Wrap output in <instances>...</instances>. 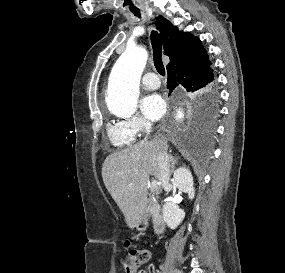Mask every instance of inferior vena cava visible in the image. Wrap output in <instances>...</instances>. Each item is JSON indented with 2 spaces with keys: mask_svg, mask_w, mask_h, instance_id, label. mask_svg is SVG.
I'll use <instances>...</instances> for the list:
<instances>
[{
  "mask_svg": "<svg viewBox=\"0 0 285 273\" xmlns=\"http://www.w3.org/2000/svg\"><path fill=\"white\" fill-rule=\"evenodd\" d=\"M144 126H145L146 137L144 138L143 141H146L147 135H149L152 130V124L147 121L145 122ZM158 164H159L158 179L160 180L163 186H166L169 184L170 168H171L170 157L167 154V150L160 149L158 154Z\"/></svg>",
  "mask_w": 285,
  "mask_h": 273,
  "instance_id": "602c4592",
  "label": "inferior vena cava"
}]
</instances>
